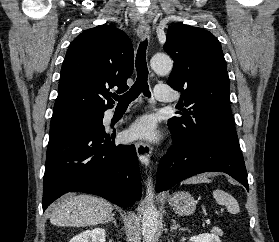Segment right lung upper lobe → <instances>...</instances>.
I'll list each match as a JSON object with an SVG mask.
<instances>
[{"instance_id": "right-lung-upper-lobe-1", "label": "right lung upper lobe", "mask_w": 279, "mask_h": 242, "mask_svg": "<svg viewBox=\"0 0 279 242\" xmlns=\"http://www.w3.org/2000/svg\"><path fill=\"white\" fill-rule=\"evenodd\" d=\"M129 37L111 25H100L78 35L70 44L60 74L53 116L73 112L104 113L109 90L126 91L133 72Z\"/></svg>"}]
</instances>
